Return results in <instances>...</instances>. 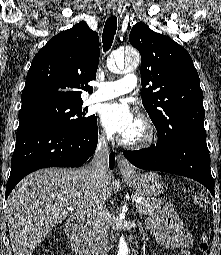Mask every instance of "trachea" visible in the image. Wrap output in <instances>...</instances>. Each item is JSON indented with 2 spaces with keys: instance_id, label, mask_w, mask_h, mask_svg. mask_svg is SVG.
Instances as JSON below:
<instances>
[{
  "instance_id": "trachea-1",
  "label": "trachea",
  "mask_w": 221,
  "mask_h": 255,
  "mask_svg": "<svg viewBox=\"0 0 221 255\" xmlns=\"http://www.w3.org/2000/svg\"><path fill=\"white\" fill-rule=\"evenodd\" d=\"M116 29L117 18L116 16L112 15L106 20L103 29L102 42L104 51H108L111 48L116 33Z\"/></svg>"
}]
</instances>
